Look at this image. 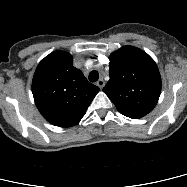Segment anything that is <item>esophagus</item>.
<instances>
[{
    "mask_svg": "<svg viewBox=\"0 0 187 187\" xmlns=\"http://www.w3.org/2000/svg\"><path fill=\"white\" fill-rule=\"evenodd\" d=\"M97 86L100 88V89H102L104 86H105V82H104V80L103 79H99L98 81H97Z\"/></svg>",
    "mask_w": 187,
    "mask_h": 187,
    "instance_id": "34e87169",
    "label": "esophagus"
}]
</instances>
